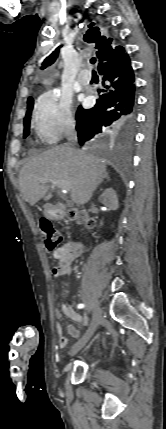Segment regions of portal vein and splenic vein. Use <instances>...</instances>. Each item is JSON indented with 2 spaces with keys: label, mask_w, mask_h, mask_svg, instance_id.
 I'll return each instance as SVG.
<instances>
[{
  "label": "portal vein and splenic vein",
  "mask_w": 166,
  "mask_h": 429,
  "mask_svg": "<svg viewBox=\"0 0 166 429\" xmlns=\"http://www.w3.org/2000/svg\"><path fill=\"white\" fill-rule=\"evenodd\" d=\"M48 180L43 181V183L47 182ZM53 185H56L58 188H61L62 191H69L71 188V184L68 181H54L52 180Z\"/></svg>",
  "instance_id": "1"
}]
</instances>
